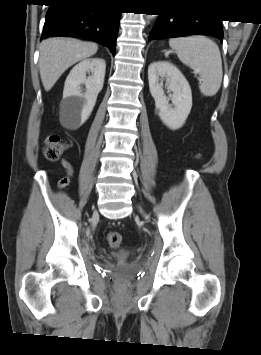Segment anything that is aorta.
I'll return each mask as SVG.
<instances>
[{"instance_id":"obj_1","label":"aorta","mask_w":261,"mask_h":355,"mask_svg":"<svg viewBox=\"0 0 261 355\" xmlns=\"http://www.w3.org/2000/svg\"><path fill=\"white\" fill-rule=\"evenodd\" d=\"M153 17H155V15H148V18H153Z\"/></svg>"}]
</instances>
